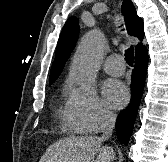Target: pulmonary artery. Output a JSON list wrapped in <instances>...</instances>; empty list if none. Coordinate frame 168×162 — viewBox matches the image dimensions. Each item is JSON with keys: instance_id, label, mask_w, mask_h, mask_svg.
I'll use <instances>...</instances> for the list:
<instances>
[{"instance_id": "obj_1", "label": "pulmonary artery", "mask_w": 168, "mask_h": 162, "mask_svg": "<svg viewBox=\"0 0 168 162\" xmlns=\"http://www.w3.org/2000/svg\"><path fill=\"white\" fill-rule=\"evenodd\" d=\"M103 67L108 74L114 76L122 75L125 70L124 61L118 54L108 56Z\"/></svg>"}]
</instances>
